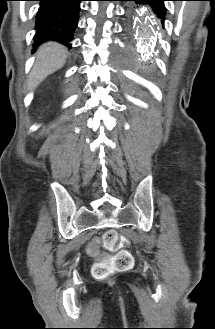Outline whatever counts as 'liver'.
<instances>
[{"instance_id": "1", "label": "liver", "mask_w": 215, "mask_h": 329, "mask_svg": "<svg viewBox=\"0 0 215 329\" xmlns=\"http://www.w3.org/2000/svg\"><path fill=\"white\" fill-rule=\"evenodd\" d=\"M66 57L67 49L56 42L41 45L28 79L29 90H34L48 75L62 68Z\"/></svg>"}]
</instances>
